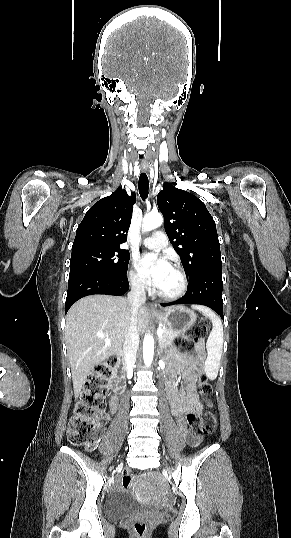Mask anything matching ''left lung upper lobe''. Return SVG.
<instances>
[{"instance_id":"obj_1","label":"left lung upper lobe","mask_w":291,"mask_h":538,"mask_svg":"<svg viewBox=\"0 0 291 538\" xmlns=\"http://www.w3.org/2000/svg\"><path fill=\"white\" fill-rule=\"evenodd\" d=\"M157 204L164 215L166 234L189 279L208 268L221 267L216 224L199 198L165 183Z\"/></svg>"}]
</instances>
